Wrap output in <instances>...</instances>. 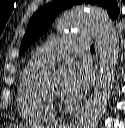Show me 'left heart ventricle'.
I'll return each mask as SVG.
<instances>
[{"instance_id":"obj_1","label":"left heart ventricle","mask_w":125,"mask_h":128,"mask_svg":"<svg viewBox=\"0 0 125 128\" xmlns=\"http://www.w3.org/2000/svg\"><path fill=\"white\" fill-rule=\"evenodd\" d=\"M44 92H46L48 95L56 96V94H57V83L54 82L50 86L46 87L44 89Z\"/></svg>"}]
</instances>
